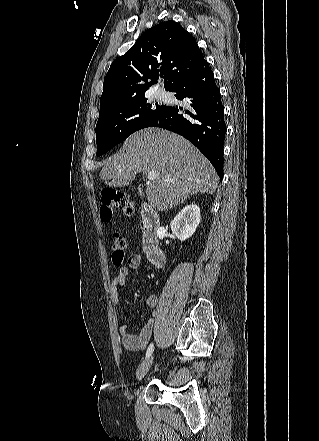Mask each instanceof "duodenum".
<instances>
[{
  "label": "duodenum",
  "mask_w": 319,
  "mask_h": 441,
  "mask_svg": "<svg viewBox=\"0 0 319 441\" xmlns=\"http://www.w3.org/2000/svg\"><path fill=\"white\" fill-rule=\"evenodd\" d=\"M143 221V248L148 260L156 267L165 264V253L159 245L158 230L160 218L157 212L147 203L141 205Z\"/></svg>",
  "instance_id": "duodenum-1"
}]
</instances>
